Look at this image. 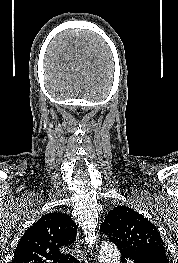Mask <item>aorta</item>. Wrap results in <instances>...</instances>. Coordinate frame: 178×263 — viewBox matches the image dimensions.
<instances>
[{
  "mask_svg": "<svg viewBox=\"0 0 178 263\" xmlns=\"http://www.w3.org/2000/svg\"><path fill=\"white\" fill-rule=\"evenodd\" d=\"M99 263H120V252L114 244L105 242L101 245Z\"/></svg>",
  "mask_w": 178,
  "mask_h": 263,
  "instance_id": "762f6f07",
  "label": "aorta"
}]
</instances>
